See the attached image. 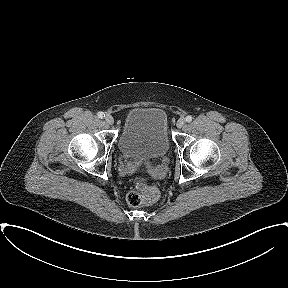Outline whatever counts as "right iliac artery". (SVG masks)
I'll list each match as a JSON object with an SVG mask.
<instances>
[{"instance_id": "1", "label": "right iliac artery", "mask_w": 288, "mask_h": 288, "mask_svg": "<svg viewBox=\"0 0 288 288\" xmlns=\"http://www.w3.org/2000/svg\"><path fill=\"white\" fill-rule=\"evenodd\" d=\"M97 115H98V117L101 118V119H102L103 117H105V114H104L103 112H98Z\"/></svg>"}]
</instances>
